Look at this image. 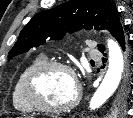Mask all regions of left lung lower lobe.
<instances>
[{
  "label": "left lung lower lobe",
  "mask_w": 133,
  "mask_h": 118,
  "mask_svg": "<svg viewBox=\"0 0 133 118\" xmlns=\"http://www.w3.org/2000/svg\"><path fill=\"white\" fill-rule=\"evenodd\" d=\"M112 35L115 37V39L121 45L123 51L125 52V56H126V59H127V71H126V76H125V82H124L122 87H129L130 88L131 74H130L129 64H130L131 61L133 62V55H132V52H131V48H130L129 42H128V40L125 37V34H124V31H123V28H122L121 24L118 25L114 29ZM100 51L103 53L104 48L102 50H100ZM103 60L105 61V59H103Z\"/></svg>",
  "instance_id": "left-lung-lower-lobe-1"
}]
</instances>
